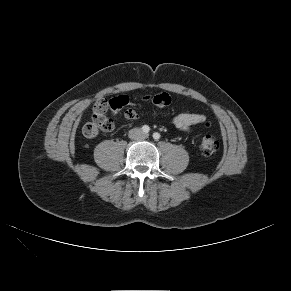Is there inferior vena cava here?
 <instances>
[{"label": "inferior vena cava", "instance_id": "602c4592", "mask_svg": "<svg viewBox=\"0 0 291 291\" xmlns=\"http://www.w3.org/2000/svg\"><path fill=\"white\" fill-rule=\"evenodd\" d=\"M133 131H135V132H137V133H139V134H142V132H141V130H140V129H134ZM131 138H136V137H134V136H131Z\"/></svg>", "mask_w": 291, "mask_h": 291}]
</instances>
